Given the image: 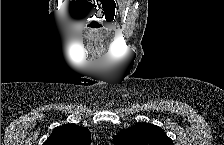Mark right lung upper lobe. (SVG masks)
I'll use <instances>...</instances> for the list:
<instances>
[{"mask_svg": "<svg viewBox=\"0 0 224 145\" xmlns=\"http://www.w3.org/2000/svg\"><path fill=\"white\" fill-rule=\"evenodd\" d=\"M90 141L88 129L68 124L55 128L43 145H89Z\"/></svg>", "mask_w": 224, "mask_h": 145, "instance_id": "cb5924a9", "label": "right lung upper lobe"}]
</instances>
